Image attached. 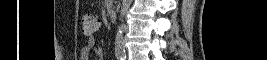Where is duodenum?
<instances>
[{"label":"duodenum","mask_w":267,"mask_h":60,"mask_svg":"<svg viewBox=\"0 0 267 60\" xmlns=\"http://www.w3.org/2000/svg\"><path fill=\"white\" fill-rule=\"evenodd\" d=\"M109 17L112 21H116L118 18L117 10L112 8L108 11Z\"/></svg>","instance_id":"410a0bca"}]
</instances>
